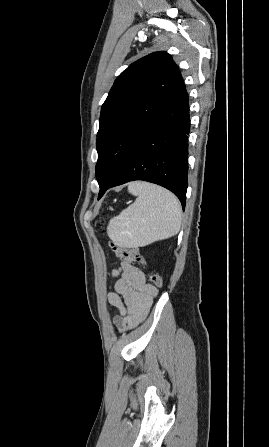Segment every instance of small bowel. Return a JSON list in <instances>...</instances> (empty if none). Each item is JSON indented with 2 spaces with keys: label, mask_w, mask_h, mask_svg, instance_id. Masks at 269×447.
Returning <instances> with one entry per match:
<instances>
[{
  "label": "small bowel",
  "mask_w": 269,
  "mask_h": 447,
  "mask_svg": "<svg viewBox=\"0 0 269 447\" xmlns=\"http://www.w3.org/2000/svg\"><path fill=\"white\" fill-rule=\"evenodd\" d=\"M112 274L117 280L115 292L108 294V300L119 311L114 322L120 329L135 327L148 315L158 289L146 281L139 268L126 261Z\"/></svg>",
  "instance_id": "small-bowel-1"
}]
</instances>
